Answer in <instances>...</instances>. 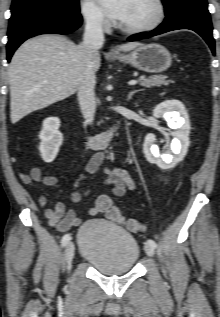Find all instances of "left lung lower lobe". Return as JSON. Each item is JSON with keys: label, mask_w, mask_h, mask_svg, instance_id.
<instances>
[{"label": "left lung lower lobe", "mask_w": 220, "mask_h": 317, "mask_svg": "<svg viewBox=\"0 0 220 317\" xmlns=\"http://www.w3.org/2000/svg\"><path fill=\"white\" fill-rule=\"evenodd\" d=\"M164 22L155 30L133 35L129 41L148 38L168 31L178 29H190L204 38L215 54V43L212 37V24L206 0H180L172 10L165 11Z\"/></svg>", "instance_id": "1"}]
</instances>
